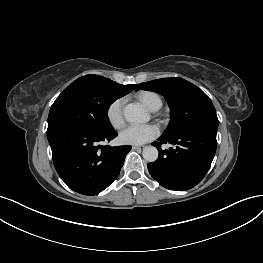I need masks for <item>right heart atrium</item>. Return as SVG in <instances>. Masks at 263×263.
<instances>
[{"label":"right heart atrium","mask_w":263,"mask_h":263,"mask_svg":"<svg viewBox=\"0 0 263 263\" xmlns=\"http://www.w3.org/2000/svg\"><path fill=\"white\" fill-rule=\"evenodd\" d=\"M123 104L124 99L117 98L108 105L106 110L107 120L115 129H119L124 125Z\"/></svg>","instance_id":"d8ad5b80"}]
</instances>
